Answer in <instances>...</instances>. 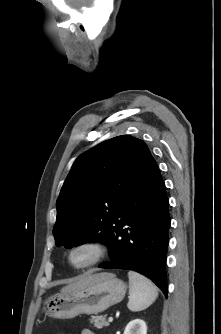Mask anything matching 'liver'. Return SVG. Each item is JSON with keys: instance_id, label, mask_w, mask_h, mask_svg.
I'll return each mask as SVG.
<instances>
[{"instance_id": "6515ba94", "label": "liver", "mask_w": 221, "mask_h": 334, "mask_svg": "<svg viewBox=\"0 0 221 334\" xmlns=\"http://www.w3.org/2000/svg\"><path fill=\"white\" fill-rule=\"evenodd\" d=\"M98 278H96L93 274V272H88L81 277L78 278L73 283H70L69 285L63 287L61 290L62 292H70L78 289H82L87 287L88 285L92 284L95 282Z\"/></svg>"}]
</instances>
